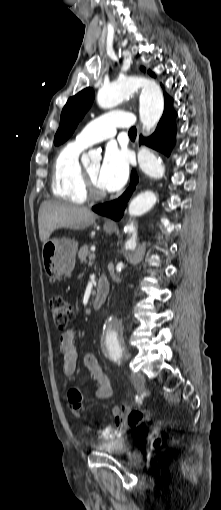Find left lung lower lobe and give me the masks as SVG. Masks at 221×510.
<instances>
[{
    "label": "left lung lower lobe",
    "mask_w": 221,
    "mask_h": 510,
    "mask_svg": "<svg viewBox=\"0 0 221 510\" xmlns=\"http://www.w3.org/2000/svg\"><path fill=\"white\" fill-rule=\"evenodd\" d=\"M176 116L177 114L172 107L165 108L154 134L147 139L140 137V143L143 142L147 146L169 156L175 140L176 125L174 120ZM137 182V174L132 171L130 187L121 197L108 203L96 205L92 207V210L100 215L120 220Z\"/></svg>",
    "instance_id": "obj_1"
}]
</instances>
